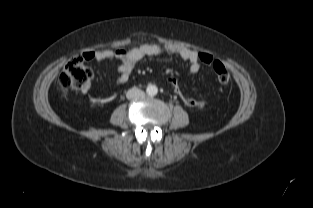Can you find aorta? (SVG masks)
<instances>
[{"label": "aorta", "mask_w": 313, "mask_h": 208, "mask_svg": "<svg viewBox=\"0 0 313 208\" xmlns=\"http://www.w3.org/2000/svg\"><path fill=\"white\" fill-rule=\"evenodd\" d=\"M146 92L150 96H154L158 93V88L155 85H148Z\"/></svg>", "instance_id": "obj_1"}]
</instances>
